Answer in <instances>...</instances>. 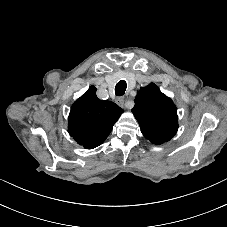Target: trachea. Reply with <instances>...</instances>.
<instances>
[{"label": "trachea", "mask_w": 227, "mask_h": 227, "mask_svg": "<svg viewBox=\"0 0 227 227\" xmlns=\"http://www.w3.org/2000/svg\"><path fill=\"white\" fill-rule=\"evenodd\" d=\"M127 88V83L125 80H120L115 86V94L116 96H122L125 93Z\"/></svg>", "instance_id": "obj_1"}]
</instances>
